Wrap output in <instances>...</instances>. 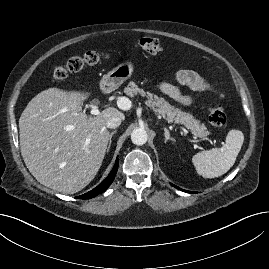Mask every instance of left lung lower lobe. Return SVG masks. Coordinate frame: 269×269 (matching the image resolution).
I'll use <instances>...</instances> for the list:
<instances>
[{
  "mask_svg": "<svg viewBox=\"0 0 269 269\" xmlns=\"http://www.w3.org/2000/svg\"><path fill=\"white\" fill-rule=\"evenodd\" d=\"M173 185V184H172ZM174 187H176L177 189H180L179 187L173 185ZM181 191H184V192H187V193H194V192H191V191H186V190H183V189H180Z\"/></svg>",
  "mask_w": 269,
  "mask_h": 269,
  "instance_id": "0a47b994",
  "label": "left lung lower lobe"
}]
</instances>
